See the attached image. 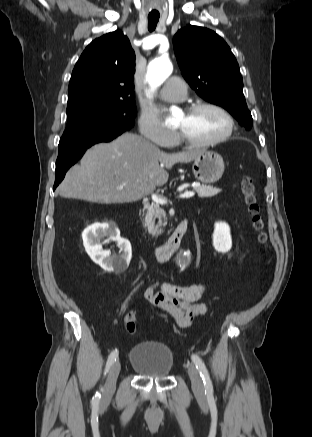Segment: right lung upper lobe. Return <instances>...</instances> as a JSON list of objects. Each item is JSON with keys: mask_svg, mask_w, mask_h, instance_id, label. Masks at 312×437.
<instances>
[{"mask_svg": "<svg viewBox=\"0 0 312 437\" xmlns=\"http://www.w3.org/2000/svg\"><path fill=\"white\" fill-rule=\"evenodd\" d=\"M135 53L114 31L92 41L77 61L68 87V107L84 102H134Z\"/></svg>", "mask_w": 312, "mask_h": 437, "instance_id": "right-lung-upper-lobe-1", "label": "right lung upper lobe"}]
</instances>
